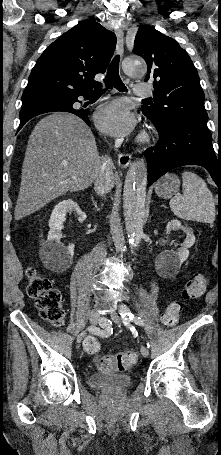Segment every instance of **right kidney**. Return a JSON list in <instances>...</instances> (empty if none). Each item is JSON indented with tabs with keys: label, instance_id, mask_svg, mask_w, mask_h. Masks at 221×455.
<instances>
[{
	"label": "right kidney",
	"instance_id": "ca27d5eb",
	"mask_svg": "<svg viewBox=\"0 0 221 455\" xmlns=\"http://www.w3.org/2000/svg\"><path fill=\"white\" fill-rule=\"evenodd\" d=\"M72 212L77 213L79 222H83L87 217L78 204L71 199L59 202L50 216V230L47 240L42 244L40 257L44 265L51 270H63L72 263L75 245L65 246L60 242L66 214Z\"/></svg>",
	"mask_w": 221,
	"mask_h": 455
}]
</instances>
